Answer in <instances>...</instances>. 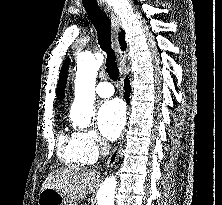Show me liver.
<instances>
[{
  "label": "liver",
  "mask_w": 222,
  "mask_h": 205,
  "mask_svg": "<svg viewBox=\"0 0 222 205\" xmlns=\"http://www.w3.org/2000/svg\"><path fill=\"white\" fill-rule=\"evenodd\" d=\"M98 186L96 171H88L78 166H69L51 172L42 190L54 189L63 193L67 199L83 200Z\"/></svg>",
  "instance_id": "obj_1"
}]
</instances>
